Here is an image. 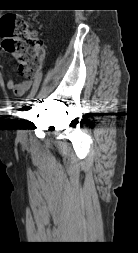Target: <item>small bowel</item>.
<instances>
[{"instance_id": "obj_1", "label": "small bowel", "mask_w": 138, "mask_h": 253, "mask_svg": "<svg viewBox=\"0 0 138 253\" xmlns=\"http://www.w3.org/2000/svg\"><path fill=\"white\" fill-rule=\"evenodd\" d=\"M2 64V59L0 58V65ZM40 74L36 77L38 79ZM35 79V80H36ZM34 80L32 78L24 79L21 81H16L13 78H10L7 81V88L11 90L15 96L22 97L33 85Z\"/></svg>"}]
</instances>
